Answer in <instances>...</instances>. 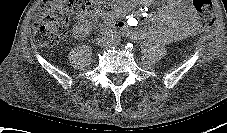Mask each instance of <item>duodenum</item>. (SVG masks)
Wrapping results in <instances>:
<instances>
[{"label": "duodenum", "instance_id": "410a0bca", "mask_svg": "<svg viewBox=\"0 0 227 133\" xmlns=\"http://www.w3.org/2000/svg\"><path fill=\"white\" fill-rule=\"evenodd\" d=\"M122 29L120 23L105 22L102 26L104 32H118Z\"/></svg>", "mask_w": 227, "mask_h": 133}]
</instances>
